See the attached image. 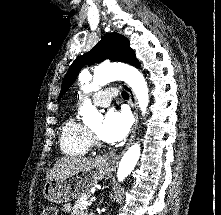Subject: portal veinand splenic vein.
Returning a JSON list of instances; mask_svg holds the SVG:
<instances>
[{"label": "portal vein and splenic vein", "mask_w": 221, "mask_h": 215, "mask_svg": "<svg viewBox=\"0 0 221 215\" xmlns=\"http://www.w3.org/2000/svg\"><path fill=\"white\" fill-rule=\"evenodd\" d=\"M95 200H96L95 197H91V198H90V201H95Z\"/></svg>", "instance_id": "18ae733b"}]
</instances>
